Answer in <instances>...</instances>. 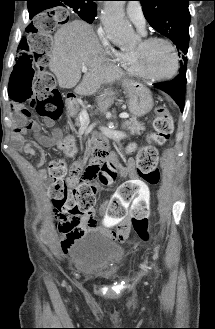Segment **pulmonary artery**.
<instances>
[{
    "instance_id": "e3ab8cb5",
    "label": "pulmonary artery",
    "mask_w": 215,
    "mask_h": 329,
    "mask_svg": "<svg viewBox=\"0 0 215 329\" xmlns=\"http://www.w3.org/2000/svg\"><path fill=\"white\" fill-rule=\"evenodd\" d=\"M126 13L129 20L134 25H136L142 33H145L144 31L145 17L140 3L138 2L129 3L127 5Z\"/></svg>"
}]
</instances>
